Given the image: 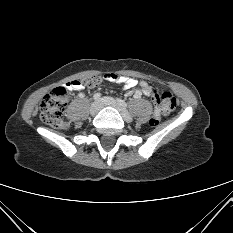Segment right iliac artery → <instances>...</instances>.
Instances as JSON below:
<instances>
[{"label":"right iliac artery","mask_w":233,"mask_h":233,"mask_svg":"<svg viewBox=\"0 0 233 233\" xmlns=\"http://www.w3.org/2000/svg\"><path fill=\"white\" fill-rule=\"evenodd\" d=\"M93 99L95 101H99L101 99V93H95L94 96H93Z\"/></svg>","instance_id":"obj_1"}]
</instances>
